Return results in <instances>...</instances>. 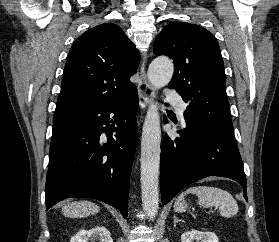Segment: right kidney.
<instances>
[{
  "instance_id": "right-kidney-1",
  "label": "right kidney",
  "mask_w": 279,
  "mask_h": 242,
  "mask_svg": "<svg viewBox=\"0 0 279 242\" xmlns=\"http://www.w3.org/2000/svg\"><path fill=\"white\" fill-rule=\"evenodd\" d=\"M99 238L100 242H113L109 231L104 226H96L90 230H80L70 242H88L89 239Z\"/></svg>"
}]
</instances>
